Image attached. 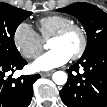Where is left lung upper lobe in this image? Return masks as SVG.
<instances>
[{"instance_id":"obj_1","label":"left lung upper lobe","mask_w":107,"mask_h":107,"mask_svg":"<svg viewBox=\"0 0 107 107\" xmlns=\"http://www.w3.org/2000/svg\"><path fill=\"white\" fill-rule=\"evenodd\" d=\"M58 11L78 18L86 30L88 42L81 58L107 47V13L88 3H74Z\"/></svg>"}]
</instances>
